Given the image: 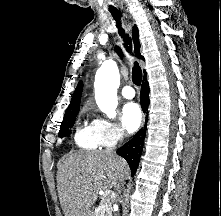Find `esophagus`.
<instances>
[{"mask_svg":"<svg viewBox=\"0 0 221 216\" xmlns=\"http://www.w3.org/2000/svg\"><path fill=\"white\" fill-rule=\"evenodd\" d=\"M145 122H146V114L144 113L142 118L141 130L144 128Z\"/></svg>","mask_w":221,"mask_h":216,"instance_id":"34e87169","label":"esophagus"}]
</instances>
